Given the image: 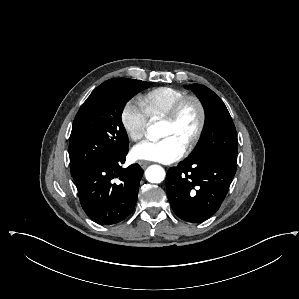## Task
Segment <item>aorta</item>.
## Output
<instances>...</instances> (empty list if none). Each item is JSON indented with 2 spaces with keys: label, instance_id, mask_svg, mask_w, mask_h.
Wrapping results in <instances>:
<instances>
[{
  "label": "aorta",
  "instance_id": "aorta-1",
  "mask_svg": "<svg viewBox=\"0 0 299 299\" xmlns=\"http://www.w3.org/2000/svg\"><path fill=\"white\" fill-rule=\"evenodd\" d=\"M147 132L152 140H157L162 136V132L157 125L149 126ZM145 177L148 182L161 183L165 178V171L161 166L152 165L146 169Z\"/></svg>",
  "mask_w": 299,
  "mask_h": 299
}]
</instances>
